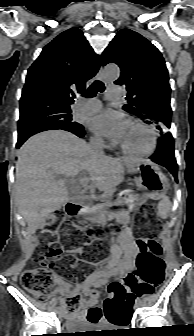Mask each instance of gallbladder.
Segmentation results:
<instances>
[{"instance_id": "gallbladder-1", "label": "gallbladder", "mask_w": 194, "mask_h": 336, "mask_svg": "<svg viewBox=\"0 0 194 336\" xmlns=\"http://www.w3.org/2000/svg\"><path fill=\"white\" fill-rule=\"evenodd\" d=\"M70 191V196H72V194H71V190H69Z\"/></svg>"}]
</instances>
